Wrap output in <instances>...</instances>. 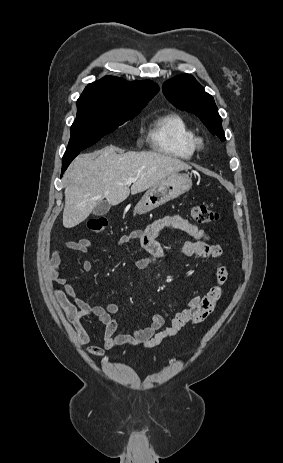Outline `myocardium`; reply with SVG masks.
Here are the masks:
<instances>
[{
	"label": "myocardium",
	"instance_id": "obj_1",
	"mask_svg": "<svg viewBox=\"0 0 283 463\" xmlns=\"http://www.w3.org/2000/svg\"><path fill=\"white\" fill-rule=\"evenodd\" d=\"M195 147H198V148L204 147V141L201 137H195Z\"/></svg>",
	"mask_w": 283,
	"mask_h": 463
}]
</instances>
